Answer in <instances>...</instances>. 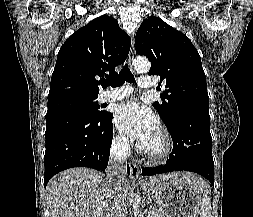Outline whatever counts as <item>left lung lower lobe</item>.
<instances>
[{
	"mask_svg": "<svg viewBox=\"0 0 253 217\" xmlns=\"http://www.w3.org/2000/svg\"><path fill=\"white\" fill-rule=\"evenodd\" d=\"M167 128L173 140L169 159L164 166L142 168V175L186 170L204 176L214 187L210 119L192 115L180 116Z\"/></svg>",
	"mask_w": 253,
	"mask_h": 217,
	"instance_id": "1",
	"label": "left lung lower lobe"
}]
</instances>
